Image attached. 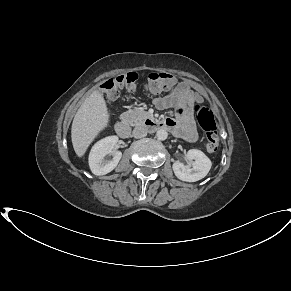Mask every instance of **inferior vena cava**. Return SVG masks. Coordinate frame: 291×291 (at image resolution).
Wrapping results in <instances>:
<instances>
[{"label":"inferior vena cava","mask_w":291,"mask_h":291,"mask_svg":"<svg viewBox=\"0 0 291 291\" xmlns=\"http://www.w3.org/2000/svg\"><path fill=\"white\" fill-rule=\"evenodd\" d=\"M148 133L147 128L144 125H139L134 128L133 130V136L135 138H142L145 137Z\"/></svg>","instance_id":"obj_1"}]
</instances>
